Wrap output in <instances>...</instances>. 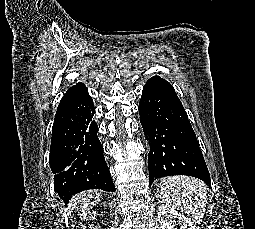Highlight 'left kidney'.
Masks as SVG:
<instances>
[{"label": "left kidney", "instance_id": "obj_1", "mask_svg": "<svg viewBox=\"0 0 255 229\" xmlns=\"http://www.w3.org/2000/svg\"><path fill=\"white\" fill-rule=\"evenodd\" d=\"M158 218L160 229H177V225H180V229H196L190 218L167 204L158 207ZM174 219H178V224Z\"/></svg>", "mask_w": 255, "mask_h": 229}]
</instances>
